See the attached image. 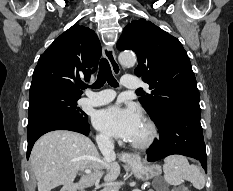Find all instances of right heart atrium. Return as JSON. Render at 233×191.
Returning <instances> with one entry per match:
<instances>
[{"label":"right heart atrium","mask_w":233,"mask_h":191,"mask_svg":"<svg viewBox=\"0 0 233 191\" xmlns=\"http://www.w3.org/2000/svg\"><path fill=\"white\" fill-rule=\"evenodd\" d=\"M96 140H97L99 147H101V148H108L113 143L112 139L104 133L97 134Z\"/></svg>","instance_id":"1"}]
</instances>
